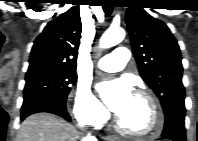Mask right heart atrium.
Returning a JSON list of instances; mask_svg holds the SVG:
<instances>
[{"label": "right heart atrium", "mask_w": 198, "mask_h": 141, "mask_svg": "<svg viewBox=\"0 0 198 141\" xmlns=\"http://www.w3.org/2000/svg\"><path fill=\"white\" fill-rule=\"evenodd\" d=\"M71 111L82 125L100 127L108 120V112L93 95L87 84L80 83L70 96Z\"/></svg>", "instance_id": "1"}]
</instances>
